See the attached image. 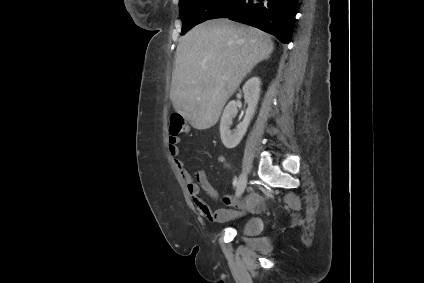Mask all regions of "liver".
<instances>
[{
  "instance_id": "obj_1",
  "label": "liver",
  "mask_w": 424,
  "mask_h": 283,
  "mask_svg": "<svg viewBox=\"0 0 424 283\" xmlns=\"http://www.w3.org/2000/svg\"><path fill=\"white\" fill-rule=\"evenodd\" d=\"M274 50L267 33L229 19L201 23L179 39L170 98L192 127L214 126L243 78Z\"/></svg>"
}]
</instances>
